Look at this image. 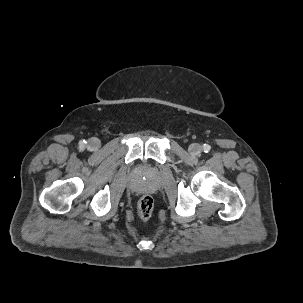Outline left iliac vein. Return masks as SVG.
Instances as JSON below:
<instances>
[{
  "label": "left iliac vein",
  "instance_id": "4c4485c4",
  "mask_svg": "<svg viewBox=\"0 0 303 303\" xmlns=\"http://www.w3.org/2000/svg\"><path fill=\"white\" fill-rule=\"evenodd\" d=\"M201 150H202V147L197 143L191 144L189 146V152L192 155H199L201 153Z\"/></svg>",
  "mask_w": 303,
  "mask_h": 303
}]
</instances>
